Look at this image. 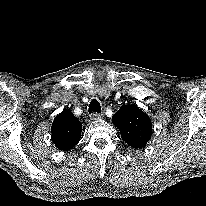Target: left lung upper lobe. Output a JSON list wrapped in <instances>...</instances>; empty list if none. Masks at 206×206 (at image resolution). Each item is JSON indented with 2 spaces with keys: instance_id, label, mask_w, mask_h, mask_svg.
Wrapping results in <instances>:
<instances>
[{
  "instance_id": "obj_1",
  "label": "left lung upper lobe",
  "mask_w": 206,
  "mask_h": 206,
  "mask_svg": "<svg viewBox=\"0 0 206 206\" xmlns=\"http://www.w3.org/2000/svg\"><path fill=\"white\" fill-rule=\"evenodd\" d=\"M122 139L133 148H143L151 138L152 123L135 104L122 105L112 118Z\"/></svg>"
}]
</instances>
